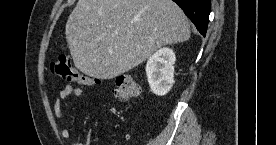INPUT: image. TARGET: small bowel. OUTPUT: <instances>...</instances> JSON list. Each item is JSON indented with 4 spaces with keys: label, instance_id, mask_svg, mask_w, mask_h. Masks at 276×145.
Returning a JSON list of instances; mask_svg holds the SVG:
<instances>
[{
    "label": "small bowel",
    "instance_id": "c3829d8e",
    "mask_svg": "<svg viewBox=\"0 0 276 145\" xmlns=\"http://www.w3.org/2000/svg\"><path fill=\"white\" fill-rule=\"evenodd\" d=\"M86 93V91L83 88L75 87L72 85H65L62 90L60 91L59 95L56 97L54 103H53V111L55 114V117L57 120L61 123H66L67 118L63 111V102L64 100L69 96H82ZM71 136V133L69 129H64L62 131V137L64 139H69ZM91 137H92V131L89 130L86 133V138L83 143H78L74 145H91Z\"/></svg>",
    "mask_w": 276,
    "mask_h": 145
}]
</instances>
